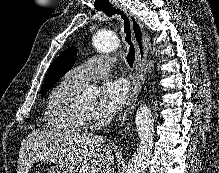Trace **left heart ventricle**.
<instances>
[{"label": "left heart ventricle", "mask_w": 219, "mask_h": 173, "mask_svg": "<svg viewBox=\"0 0 219 173\" xmlns=\"http://www.w3.org/2000/svg\"><path fill=\"white\" fill-rule=\"evenodd\" d=\"M81 106L90 114L96 115V96H88L80 99Z\"/></svg>", "instance_id": "left-heart-ventricle-1"}]
</instances>
